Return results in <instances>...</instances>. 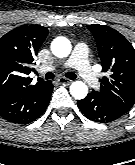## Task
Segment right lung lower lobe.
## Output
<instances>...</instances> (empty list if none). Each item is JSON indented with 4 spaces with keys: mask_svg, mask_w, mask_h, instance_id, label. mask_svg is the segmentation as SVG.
I'll list each match as a JSON object with an SVG mask.
<instances>
[{
    "mask_svg": "<svg viewBox=\"0 0 135 165\" xmlns=\"http://www.w3.org/2000/svg\"><path fill=\"white\" fill-rule=\"evenodd\" d=\"M50 81L44 86L13 88L0 93V116L12 123H28L46 110L52 95Z\"/></svg>",
    "mask_w": 135,
    "mask_h": 165,
    "instance_id": "98d812e1",
    "label": "right lung lower lobe"
}]
</instances>
